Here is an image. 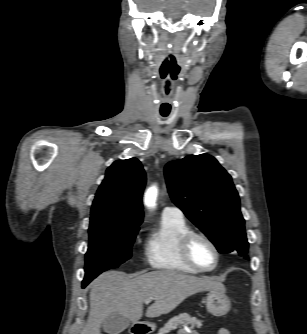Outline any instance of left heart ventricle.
<instances>
[{
    "mask_svg": "<svg viewBox=\"0 0 307 334\" xmlns=\"http://www.w3.org/2000/svg\"><path fill=\"white\" fill-rule=\"evenodd\" d=\"M191 253L196 263L203 268H209L215 262L213 249L202 239H195L193 241Z\"/></svg>",
    "mask_w": 307,
    "mask_h": 334,
    "instance_id": "1",
    "label": "left heart ventricle"
}]
</instances>
